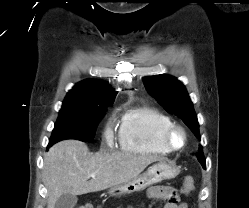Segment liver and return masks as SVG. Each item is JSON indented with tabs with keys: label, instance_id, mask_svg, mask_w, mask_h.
<instances>
[{
	"label": "liver",
	"instance_id": "6515ba94",
	"mask_svg": "<svg viewBox=\"0 0 249 208\" xmlns=\"http://www.w3.org/2000/svg\"><path fill=\"white\" fill-rule=\"evenodd\" d=\"M161 160V157L148 154L107 151L91 154L81 141H60L44 157L43 180L49 197L47 208H55L63 194L82 195L127 183L148 165ZM90 174L95 178L88 180Z\"/></svg>",
	"mask_w": 249,
	"mask_h": 208
}]
</instances>
